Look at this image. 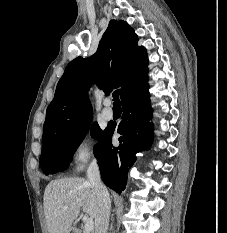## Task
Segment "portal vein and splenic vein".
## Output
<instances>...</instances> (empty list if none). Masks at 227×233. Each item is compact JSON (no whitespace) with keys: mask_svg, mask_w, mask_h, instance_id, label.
<instances>
[{"mask_svg":"<svg viewBox=\"0 0 227 233\" xmlns=\"http://www.w3.org/2000/svg\"><path fill=\"white\" fill-rule=\"evenodd\" d=\"M65 209L68 208V206L64 207ZM94 229V222H93V218H87L85 220V225H84V233H90L92 230Z\"/></svg>","mask_w":227,"mask_h":233,"instance_id":"portal-vein-and-splenic-vein-1","label":"portal vein and splenic vein"}]
</instances>
